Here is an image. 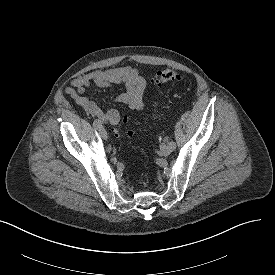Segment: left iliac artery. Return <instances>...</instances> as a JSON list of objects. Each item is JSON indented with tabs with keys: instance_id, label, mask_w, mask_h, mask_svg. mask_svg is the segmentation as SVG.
Listing matches in <instances>:
<instances>
[{
	"instance_id": "obj_1",
	"label": "left iliac artery",
	"mask_w": 275,
	"mask_h": 275,
	"mask_svg": "<svg viewBox=\"0 0 275 275\" xmlns=\"http://www.w3.org/2000/svg\"><path fill=\"white\" fill-rule=\"evenodd\" d=\"M169 145L172 147V149H175V148H176V144H175V142H173V141L169 142Z\"/></svg>"
}]
</instances>
